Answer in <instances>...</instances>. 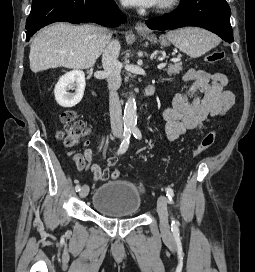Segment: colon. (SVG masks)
<instances>
[{
	"instance_id": "colon-1",
	"label": "colon",
	"mask_w": 255,
	"mask_h": 272,
	"mask_svg": "<svg viewBox=\"0 0 255 272\" xmlns=\"http://www.w3.org/2000/svg\"><path fill=\"white\" fill-rule=\"evenodd\" d=\"M226 54L222 50L214 51L209 54L207 61L209 63H218L224 61ZM60 122L62 124V130L58 133V137L61 138L68 147L74 146L79 139L87 134V125L81 120L77 114L72 110H67L61 113ZM217 138V131L210 130L207 132L200 143L193 151V158H198L206 151H208L215 143ZM113 179H117L120 176L118 170H114L111 173Z\"/></svg>"
}]
</instances>
